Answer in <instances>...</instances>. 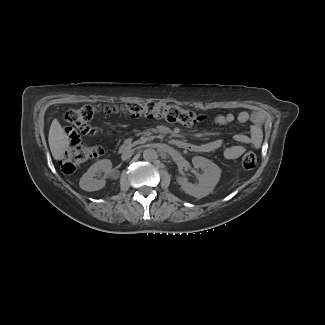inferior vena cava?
I'll use <instances>...</instances> for the list:
<instances>
[{
  "label": "inferior vena cava",
  "instance_id": "1",
  "mask_svg": "<svg viewBox=\"0 0 325 325\" xmlns=\"http://www.w3.org/2000/svg\"><path fill=\"white\" fill-rule=\"evenodd\" d=\"M132 156V152H126L124 154H122L121 158L122 160H126L128 158H130Z\"/></svg>",
  "mask_w": 325,
  "mask_h": 325
}]
</instances>
